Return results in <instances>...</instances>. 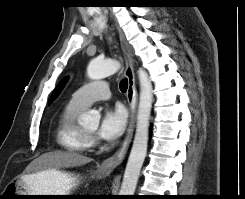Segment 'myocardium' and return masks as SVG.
Wrapping results in <instances>:
<instances>
[{
  "instance_id": "myocardium-1",
  "label": "myocardium",
  "mask_w": 245,
  "mask_h": 199,
  "mask_svg": "<svg viewBox=\"0 0 245 199\" xmlns=\"http://www.w3.org/2000/svg\"><path fill=\"white\" fill-rule=\"evenodd\" d=\"M84 132H85V134L88 136V138H89L90 140L94 139V134H91V133H89V132H87V131H84Z\"/></svg>"
}]
</instances>
